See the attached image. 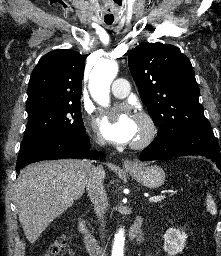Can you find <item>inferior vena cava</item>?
Segmentation results:
<instances>
[{
    "mask_svg": "<svg viewBox=\"0 0 221 256\" xmlns=\"http://www.w3.org/2000/svg\"><path fill=\"white\" fill-rule=\"evenodd\" d=\"M99 145H104L105 141L102 137L97 139ZM103 167H95L91 163L87 167V171L84 177V184L88 192V196L94 204V210L99 216L102 226L104 224V214L107 210L108 201L105 188L103 186ZM103 237V236H102ZM105 255V250L102 256Z\"/></svg>",
    "mask_w": 221,
    "mask_h": 256,
    "instance_id": "inferior-vena-cava-1",
    "label": "inferior vena cava"
}]
</instances>
